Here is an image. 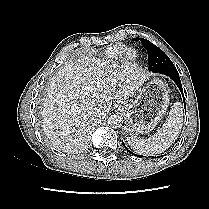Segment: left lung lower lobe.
<instances>
[{
    "label": "left lung lower lobe",
    "instance_id": "0a47b994",
    "mask_svg": "<svg viewBox=\"0 0 209 209\" xmlns=\"http://www.w3.org/2000/svg\"><path fill=\"white\" fill-rule=\"evenodd\" d=\"M160 73L163 74V75H166V76L170 77V78L176 83V85L178 86V88H179V90H180V92L182 93L183 98H184V94H183V90H182L181 81H180L179 74H178L176 68L164 70V71H162V72H160ZM184 103H185V101H184ZM122 144H123V146L125 147V145H124L123 142H122ZM125 148H126V147H125ZM127 150H128V149H127ZM128 151H129V150H128ZM129 153H131V152L129 151ZM131 154L133 155V153H131ZM134 155H135V154H134ZM135 156H137V155H135ZM138 156H139V155H138Z\"/></svg>",
    "mask_w": 209,
    "mask_h": 209
}]
</instances>
